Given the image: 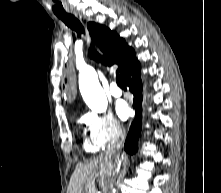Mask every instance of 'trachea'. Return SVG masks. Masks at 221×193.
Segmentation results:
<instances>
[{
  "mask_svg": "<svg viewBox=\"0 0 221 193\" xmlns=\"http://www.w3.org/2000/svg\"><path fill=\"white\" fill-rule=\"evenodd\" d=\"M58 18L61 19L68 27L75 30L77 33L79 34L84 33V28L81 22L75 16L71 14H65V15H58ZM116 83L118 84L119 87L126 88L119 74L116 75Z\"/></svg>",
  "mask_w": 221,
  "mask_h": 193,
  "instance_id": "trachea-1",
  "label": "trachea"
}]
</instances>
